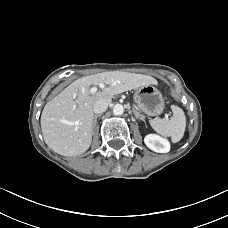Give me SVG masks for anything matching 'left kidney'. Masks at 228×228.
<instances>
[{
    "label": "left kidney",
    "mask_w": 228,
    "mask_h": 228,
    "mask_svg": "<svg viewBox=\"0 0 228 228\" xmlns=\"http://www.w3.org/2000/svg\"><path fill=\"white\" fill-rule=\"evenodd\" d=\"M144 142L146 146L154 152L167 153L170 151V143L156 134H148L145 136Z\"/></svg>",
    "instance_id": "left-kidney-1"
}]
</instances>
